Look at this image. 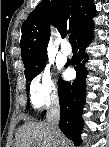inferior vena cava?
Instances as JSON below:
<instances>
[{
    "label": "inferior vena cava",
    "instance_id": "obj_1",
    "mask_svg": "<svg viewBox=\"0 0 109 147\" xmlns=\"http://www.w3.org/2000/svg\"><path fill=\"white\" fill-rule=\"evenodd\" d=\"M59 120H60V108L58 105L52 106L46 114V124L49 128L50 133L53 136L54 146L59 147V140L57 134L59 132Z\"/></svg>",
    "mask_w": 109,
    "mask_h": 147
}]
</instances>
